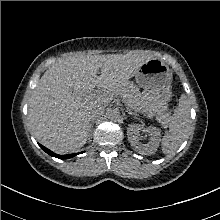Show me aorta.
Masks as SVG:
<instances>
[{"label": "aorta", "mask_w": 220, "mask_h": 220, "mask_svg": "<svg viewBox=\"0 0 220 220\" xmlns=\"http://www.w3.org/2000/svg\"><path fill=\"white\" fill-rule=\"evenodd\" d=\"M120 116L119 111L112 109L108 111V119L110 120H116Z\"/></svg>", "instance_id": "1"}]
</instances>
